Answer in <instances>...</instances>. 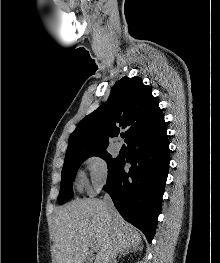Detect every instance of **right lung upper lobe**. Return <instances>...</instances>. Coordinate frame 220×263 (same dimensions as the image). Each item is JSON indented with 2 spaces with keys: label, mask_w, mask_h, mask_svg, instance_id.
Wrapping results in <instances>:
<instances>
[{
  "label": "right lung upper lobe",
  "mask_w": 220,
  "mask_h": 263,
  "mask_svg": "<svg viewBox=\"0 0 220 263\" xmlns=\"http://www.w3.org/2000/svg\"><path fill=\"white\" fill-rule=\"evenodd\" d=\"M125 129V142L142 134L166 130L164 114L140 77H123L113 86L108 100L87 115L70 135L67 153L106 149L108 137ZM66 153V154H67Z\"/></svg>",
  "instance_id": "cb5924a9"
}]
</instances>
